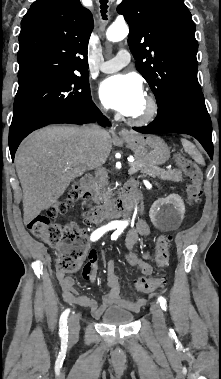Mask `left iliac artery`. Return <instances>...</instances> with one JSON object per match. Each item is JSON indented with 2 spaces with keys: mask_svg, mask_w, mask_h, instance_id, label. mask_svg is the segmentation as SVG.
Listing matches in <instances>:
<instances>
[{
  "mask_svg": "<svg viewBox=\"0 0 221 379\" xmlns=\"http://www.w3.org/2000/svg\"><path fill=\"white\" fill-rule=\"evenodd\" d=\"M122 231H123V228L122 227H118V229L113 233L111 239L112 240H116L118 238V236L121 234ZM157 301L160 304L161 308L166 311V309H167V301H166V299L163 296H159Z\"/></svg>",
  "mask_w": 221,
  "mask_h": 379,
  "instance_id": "left-iliac-artery-1",
  "label": "left iliac artery"
}]
</instances>
